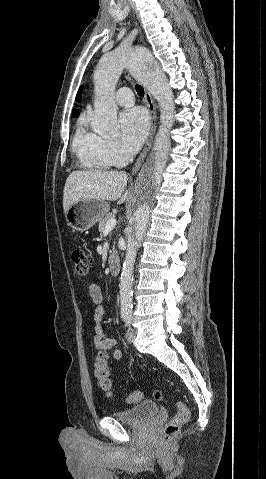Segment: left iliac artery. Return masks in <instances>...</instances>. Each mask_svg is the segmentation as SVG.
<instances>
[{
	"mask_svg": "<svg viewBox=\"0 0 266 479\" xmlns=\"http://www.w3.org/2000/svg\"><path fill=\"white\" fill-rule=\"evenodd\" d=\"M123 319L126 323L127 326H130L131 325V322H132V315L130 313H126L123 315Z\"/></svg>",
	"mask_w": 266,
	"mask_h": 479,
	"instance_id": "1",
	"label": "left iliac artery"
}]
</instances>
